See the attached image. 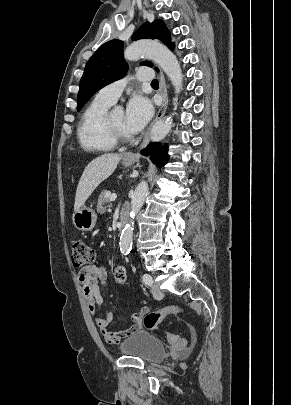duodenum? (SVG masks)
<instances>
[{
    "label": "duodenum",
    "mask_w": 291,
    "mask_h": 405,
    "mask_svg": "<svg viewBox=\"0 0 291 405\" xmlns=\"http://www.w3.org/2000/svg\"><path fill=\"white\" fill-rule=\"evenodd\" d=\"M128 216V208L125 206L122 209L121 215H120V230L122 229L123 225L125 224Z\"/></svg>",
    "instance_id": "obj_1"
}]
</instances>
